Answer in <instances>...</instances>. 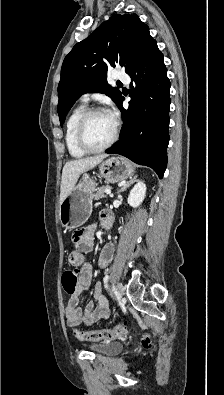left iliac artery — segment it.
Returning a JSON list of instances; mask_svg holds the SVG:
<instances>
[{"instance_id":"left-iliac-artery-1","label":"left iliac artery","mask_w":224,"mask_h":395,"mask_svg":"<svg viewBox=\"0 0 224 395\" xmlns=\"http://www.w3.org/2000/svg\"><path fill=\"white\" fill-rule=\"evenodd\" d=\"M108 279H109V276L106 275V276L104 277V283H105V288H106V289H108V285H107Z\"/></svg>"}]
</instances>
